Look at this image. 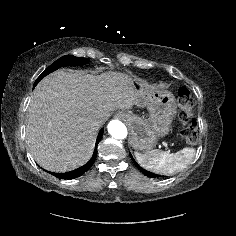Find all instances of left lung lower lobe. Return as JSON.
Segmentation results:
<instances>
[{
  "label": "left lung lower lobe",
  "instance_id": "obj_1",
  "mask_svg": "<svg viewBox=\"0 0 236 236\" xmlns=\"http://www.w3.org/2000/svg\"><path fill=\"white\" fill-rule=\"evenodd\" d=\"M131 156V159L133 160V162L135 163V165L142 171V173L148 177H160V175H157V174H154V173H151V172H148L146 170H144L143 168H141L137 163L136 161L134 160V158L132 157V155L130 154Z\"/></svg>",
  "mask_w": 236,
  "mask_h": 236
}]
</instances>
